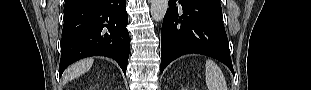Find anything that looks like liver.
I'll use <instances>...</instances> for the list:
<instances>
[{"mask_svg":"<svg viewBox=\"0 0 311 90\" xmlns=\"http://www.w3.org/2000/svg\"><path fill=\"white\" fill-rule=\"evenodd\" d=\"M94 60L92 58L83 59L79 62H76L68 68L66 71L65 79L66 81L72 80L85 72L89 71L93 65Z\"/></svg>","mask_w":311,"mask_h":90,"instance_id":"obj_1","label":"liver"}]
</instances>
